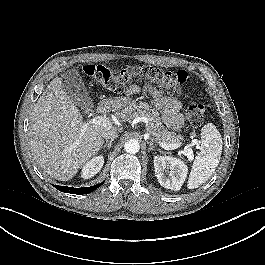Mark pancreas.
Listing matches in <instances>:
<instances>
[{
  "mask_svg": "<svg viewBox=\"0 0 265 265\" xmlns=\"http://www.w3.org/2000/svg\"><path fill=\"white\" fill-rule=\"evenodd\" d=\"M120 117L124 120H131L136 117H146L148 123L146 124V130L154 136V140L158 143L174 144L180 143L183 140V136L175 132L169 131L164 128L161 123L159 114L152 109L147 103H130L121 113Z\"/></svg>",
  "mask_w": 265,
  "mask_h": 265,
  "instance_id": "cf45deb5",
  "label": "pancreas"
}]
</instances>
